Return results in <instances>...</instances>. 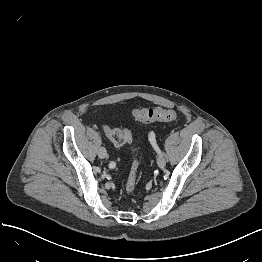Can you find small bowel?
<instances>
[{
  "label": "small bowel",
  "instance_id": "1",
  "mask_svg": "<svg viewBox=\"0 0 262 262\" xmlns=\"http://www.w3.org/2000/svg\"><path fill=\"white\" fill-rule=\"evenodd\" d=\"M149 139H150L151 144H152V140H154V143L156 144V137H155L154 132H150V134H149ZM115 166H116V164H115L114 166L112 165V167H109V168H110V169H114Z\"/></svg>",
  "mask_w": 262,
  "mask_h": 262
}]
</instances>
